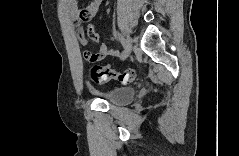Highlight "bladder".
Segmentation results:
<instances>
[{
	"instance_id": "bladder-1",
	"label": "bladder",
	"mask_w": 239,
	"mask_h": 156,
	"mask_svg": "<svg viewBox=\"0 0 239 156\" xmlns=\"http://www.w3.org/2000/svg\"><path fill=\"white\" fill-rule=\"evenodd\" d=\"M92 92L102 99L116 105H126L131 103L134 100L136 93L135 89L129 86L114 87L104 92L92 90Z\"/></svg>"
}]
</instances>
